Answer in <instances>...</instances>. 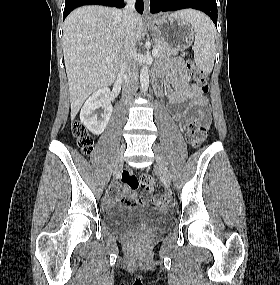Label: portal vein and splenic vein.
Masks as SVG:
<instances>
[{
    "instance_id": "portal-vein-and-splenic-vein-1",
    "label": "portal vein and splenic vein",
    "mask_w": 280,
    "mask_h": 285,
    "mask_svg": "<svg viewBox=\"0 0 280 285\" xmlns=\"http://www.w3.org/2000/svg\"><path fill=\"white\" fill-rule=\"evenodd\" d=\"M152 54H153L154 57H156V56L158 55V50H157L156 48H154V49L152 50ZM106 60L109 61L110 58H109V57H106Z\"/></svg>"
}]
</instances>
